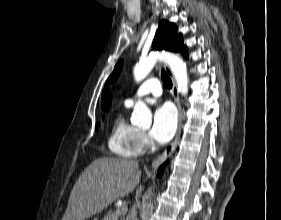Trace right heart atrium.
Wrapping results in <instances>:
<instances>
[{
	"instance_id": "right-heart-atrium-1",
	"label": "right heart atrium",
	"mask_w": 281,
	"mask_h": 220,
	"mask_svg": "<svg viewBox=\"0 0 281 220\" xmlns=\"http://www.w3.org/2000/svg\"><path fill=\"white\" fill-rule=\"evenodd\" d=\"M140 144L142 148H147L151 145V142L148 138V136L144 132H140Z\"/></svg>"
}]
</instances>
